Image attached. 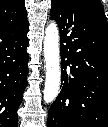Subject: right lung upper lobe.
Returning <instances> with one entry per match:
<instances>
[{"mask_svg": "<svg viewBox=\"0 0 108 127\" xmlns=\"http://www.w3.org/2000/svg\"><path fill=\"white\" fill-rule=\"evenodd\" d=\"M26 22L24 0H0V30L17 28Z\"/></svg>", "mask_w": 108, "mask_h": 127, "instance_id": "right-lung-upper-lobe-1", "label": "right lung upper lobe"}]
</instances>
